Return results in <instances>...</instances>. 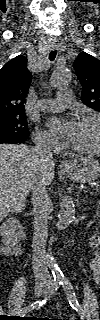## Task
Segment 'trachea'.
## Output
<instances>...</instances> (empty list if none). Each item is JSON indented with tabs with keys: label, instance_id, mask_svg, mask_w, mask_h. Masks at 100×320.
<instances>
[{
	"label": "trachea",
	"instance_id": "3493384b",
	"mask_svg": "<svg viewBox=\"0 0 100 320\" xmlns=\"http://www.w3.org/2000/svg\"><path fill=\"white\" fill-rule=\"evenodd\" d=\"M55 57H56V51L55 50L51 51L50 54H49V59L51 61H53L55 59Z\"/></svg>",
	"mask_w": 100,
	"mask_h": 320
}]
</instances>
